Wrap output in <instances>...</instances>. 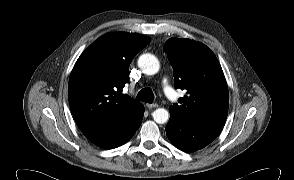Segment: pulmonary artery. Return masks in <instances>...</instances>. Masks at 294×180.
<instances>
[{"label":"pulmonary artery","instance_id":"pulmonary-artery-1","mask_svg":"<svg viewBox=\"0 0 294 180\" xmlns=\"http://www.w3.org/2000/svg\"><path fill=\"white\" fill-rule=\"evenodd\" d=\"M163 91L171 101H175L177 99L176 92L168 85L167 81L163 82Z\"/></svg>","mask_w":294,"mask_h":180}]
</instances>
